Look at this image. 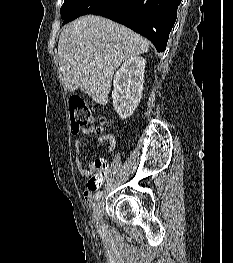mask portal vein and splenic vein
Here are the masks:
<instances>
[{"label":"portal vein and splenic vein","mask_w":233,"mask_h":263,"mask_svg":"<svg viewBox=\"0 0 233 263\" xmlns=\"http://www.w3.org/2000/svg\"><path fill=\"white\" fill-rule=\"evenodd\" d=\"M91 66H94L95 65V61H90L89 63Z\"/></svg>","instance_id":"portal-vein-and-splenic-vein-1"}]
</instances>
